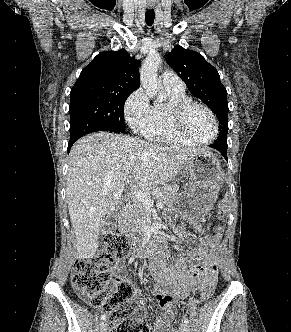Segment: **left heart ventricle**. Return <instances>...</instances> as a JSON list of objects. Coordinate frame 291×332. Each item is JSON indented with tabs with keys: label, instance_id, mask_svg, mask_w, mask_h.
<instances>
[{
	"label": "left heart ventricle",
	"instance_id": "left-heart-ventricle-1",
	"mask_svg": "<svg viewBox=\"0 0 291 332\" xmlns=\"http://www.w3.org/2000/svg\"><path fill=\"white\" fill-rule=\"evenodd\" d=\"M188 133L199 141H207L214 134L213 122L206 111L201 108L192 109L186 121Z\"/></svg>",
	"mask_w": 291,
	"mask_h": 332
}]
</instances>
